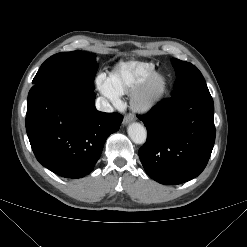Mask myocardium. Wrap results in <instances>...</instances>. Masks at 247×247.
<instances>
[{"mask_svg":"<svg viewBox=\"0 0 247 247\" xmlns=\"http://www.w3.org/2000/svg\"><path fill=\"white\" fill-rule=\"evenodd\" d=\"M168 88V78L162 72H154L136 91L132 94V106L142 112L155 107L164 97Z\"/></svg>","mask_w":247,"mask_h":247,"instance_id":"myocardium-1","label":"myocardium"}]
</instances>
